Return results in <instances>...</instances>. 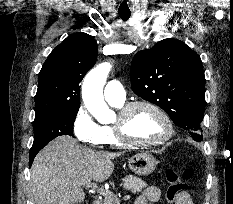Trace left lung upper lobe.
<instances>
[{"instance_id":"obj_1","label":"left lung upper lobe","mask_w":233,"mask_h":204,"mask_svg":"<svg viewBox=\"0 0 233 204\" xmlns=\"http://www.w3.org/2000/svg\"><path fill=\"white\" fill-rule=\"evenodd\" d=\"M130 79L135 94L162 108L195 141H202L205 76L195 51L177 39L161 40L134 56Z\"/></svg>"}]
</instances>
